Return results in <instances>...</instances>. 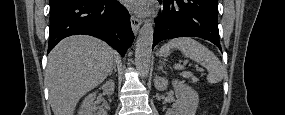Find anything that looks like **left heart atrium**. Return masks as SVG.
Here are the masks:
<instances>
[{"mask_svg": "<svg viewBox=\"0 0 285 115\" xmlns=\"http://www.w3.org/2000/svg\"><path fill=\"white\" fill-rule=\"evenodd\" d=\"M125 2L128 4L130 8L138 12L144 10L146 3L145 0H127Z\"/></svg>", "mask_w": 285, "mask_h": 115, "instance_id": "obj_1", "label": "left heart atrium"}]
</instances>
